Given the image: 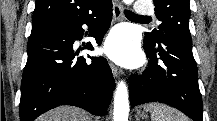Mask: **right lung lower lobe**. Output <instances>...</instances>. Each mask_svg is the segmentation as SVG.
Wrapping results in <instances>:
<instances>
[{"mask_svg":"<svg viewBox=\"0 0 217 121\" xmlns=\"http://www.w3.org/2000/svg\"><path fill=\"white\" fill-rule=\"evenodd\" d=\"M112 1L98 11L64 25L30 35L28 59L21 83L20 121H33L59 106L73 105L103 116L109 106L115 81L103 57L75 58L76 39H82L89 26L90 36L99 45L110 26ZM87 34V32L85 33ZM83 49L93 50L91 43Z\"/></svg>","mask_w":217,"mask_h":121,"instance_id":"right-lung-lower-lobe-1","label":"right lung lower lobe"}]
</instances>
